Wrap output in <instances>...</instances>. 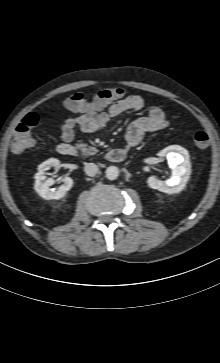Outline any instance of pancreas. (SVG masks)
Masks as SVG:
<instances>
[{"label":"pancreas","mask_w":220,"mask_h":363,"mask_svg":"<svg viewBox=\"0 0 220 363\" xmlns=\"http://www.w3.org/2000/svg\"><path fill=\"white\" fill-rule=\"evenodd\" d=\"M77 147L83 155H95L98 152L96 148L88 146L87 144H77Z\"/></svg>","instance_id":"pancreas-1"}]
</instances>
